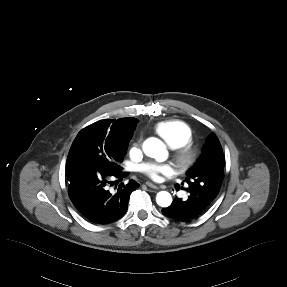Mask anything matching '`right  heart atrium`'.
Instances as JSON below:
<instances>
[{"instance_id":"right-heart-atrium-1","label":"right heart atrium","mask_w":287,"mask_h":287,"mask_svg":"<svg viewBox=\"0 0 287 287\" xmlns=\"http://www.w3.org/2000/svg\"><path fill=\"white\" fill-rule=\"evenodd\" d=\"M140 152V145H139V143H133V145H132V147H131V149H130V153L131 154H138Z\"/></svg>"}]
</instances>
